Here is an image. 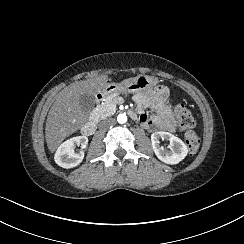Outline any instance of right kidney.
Returning a JSON list of instances; mask_svg holds the SVG:
<instances>
[{
	"label": "right kidney",
	"mask_w": 244,
	"mask_h": 244,
	"mask_svg": "<svg viewBox=\"0 0 244 244\" xmlns=\"http://www.w3.org/2000/svg\"><path fill=\"white\" fill-rule=\"evenodd\" d=\"M87 144L88 138L86 136H77L66 140L55 153L54 160L56 164L66 169L76 167L82 162L84 151L81 150L79 153H75V146L81 145V149H84Z\"/></svg>",
	"instance_id": "right-kidney-1"
}]
</instances>
